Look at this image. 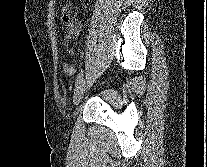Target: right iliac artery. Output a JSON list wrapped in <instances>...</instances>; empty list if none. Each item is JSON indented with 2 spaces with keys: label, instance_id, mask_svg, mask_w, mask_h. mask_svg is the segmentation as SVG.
Listing matches in <instances>:
<instances>
[{
  "label": "right iliac artery",
  "instance_id": "82829eb1",
  "mask_svg": "<svg viewBox=\"0 0 207 167\" xmlns=\"http://www.w3.org/2000/svg\"><path fill=\"white\" fill-rule=\"evenodd\" d=\"M83 73H84V71L81 70V72L77 75L76 82H75V87L76 88L81 83V81L83 79Z\"/></svg>",
  "mask_w": 207,
  "mask_h": 167
}]
</instances>
